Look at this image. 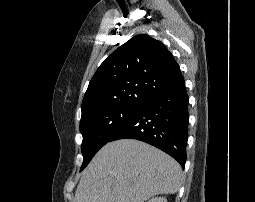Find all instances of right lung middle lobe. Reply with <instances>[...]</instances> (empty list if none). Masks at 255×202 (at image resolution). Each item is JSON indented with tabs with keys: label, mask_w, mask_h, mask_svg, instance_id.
Here are the masks:
<instances>
[{
	"label": "right lung middle lobe",
	"mask_w": 255,
	"mask_h": 202,
	"mask_svg": "<svg viewBox=\"0 0 255 202\" xmlns=\"http://www.w3.org/2000/svg\"><path fill=\"white\" fill-rule=\"evenodd\" d=\"M140 106H115L105 108L81 118L80 132L82 171L96 152L110 141L113 135L139 110Z\"/></svg>",
	"instance_id": "1"
}]
</instances>
